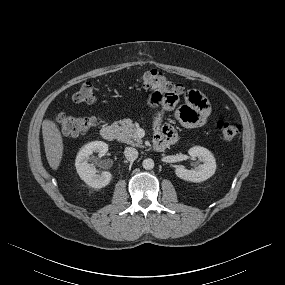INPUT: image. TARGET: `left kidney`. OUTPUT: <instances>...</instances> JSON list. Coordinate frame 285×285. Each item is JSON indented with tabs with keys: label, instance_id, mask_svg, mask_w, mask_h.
Here are the masks:
<instances>
[{
	"label": "left kidney",
	"instance_id": "obj_1",
	"mask_svg": "<svg viewBox=\"0 0 285 285\" xmlns=\"http://www.w3.org/2000/svg\"><path fill=\"white\" fill-rule=\"evenodd\" d=\"M188 153L192 157H198L203 164L199 171L188 170L181 166L177 167L175 169V174L179 178L197 183L205 181L214 175L216 170V161L208 149L201 146H195L190 148Z\"/></svg>",
	"mask_w": 285,
	"mask_h": 285
}]
</instances>
